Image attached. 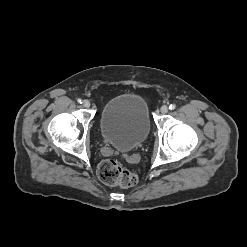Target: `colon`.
Masks as SVG:
<instances>
[{
    "label": "colon",
    "instance_id": "5ec220e1",
    "mask_svg": "<svg viewBox=\"0 0 247 247\" xmlns=\"http://www.w3.org/2000/svg\"><path fill=\"white\" fill-rule=\"evenodd\" d=\"M97 174L99 179L109 186L128 188L134 186L138 180L134 171L113 159L103 160L97 168Z\"/></svg>",
    "mask_w": 247,
    "mask_h": 247
}]
</instances>
